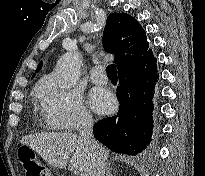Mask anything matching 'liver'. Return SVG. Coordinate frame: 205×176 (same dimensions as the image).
Here are the masks:
<instances>
[{
    "label": "liver",
    "mask_w": 205,
    "mask_h": 176,
    "mask_svg": "<svg viewBox=\"0 0 205 176\" xmlns=\"http://www.w3.org/2000/svg\"><path fill=\"white\" fill-rule=\"evenodd\" d=\"M21 143L38 153L50 165L63 169L71 157L72 169L91 176L93 169L90 149L72 133H37L25 136ZM107 158L108 150L102 148Z\"/></svg>",
    "instance_id": "obj_1"
}]
</instances>
